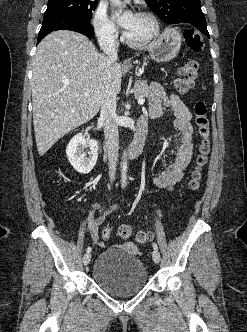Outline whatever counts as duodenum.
Masks as SVG:
<instances>
[{"instance_id": "410a0bca", "label": "duodenum", "mask_w": 247, "mask_h": 332, "mask_svg": "<svg viewBox=\"0 0 247 332\" xmlns=\"http://www.w3.org/2000/svg\"><path fill=\"white\" fill-rule=\"evenodd\" d=\"M147 139V118L142 116L137 123V134L132 143L127 147L125 155L129 158L138 156L145 146Z\"/></svg>"}]
</instances>
